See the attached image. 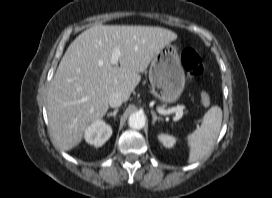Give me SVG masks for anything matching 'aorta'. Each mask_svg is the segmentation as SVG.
<instances>
[{"mask_svg": "<svg viewBox=\"0 0 272 198\" xmlns=\"http://www.w3.org/2000/svg\"><path fill=\"white\" fill-rule=\"evenodd\" d=\"M128 123L131 128L140 130L145 125V117L142 113H133L130 115Z\"/></svg>", "mask_w": 272, "mask_h": 198, "instance_id": "1", "label": "aorta"}]
</instances>
